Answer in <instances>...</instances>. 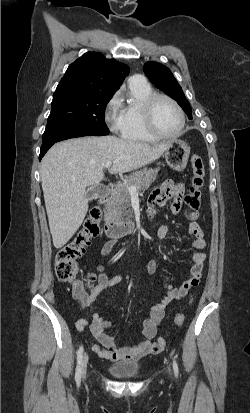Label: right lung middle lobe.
<instances>
[{
  "mask_svg": "<svg viewBox=\"0 0 250 413\" xmlns=\"http://www.w3.org/2000/svg\"><path fill=\"white\" fill-rule=\"evenodd\" d=\"M113 94L77 86L57 88L42 142L73 130L109 133L104 112Z\"/></svg>",
  "mask_w": 250,
  "mask_h": 413,
  "instance_id": "1",
  "label": "right lung middle lobe"
}]
</instances>
